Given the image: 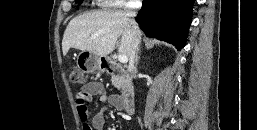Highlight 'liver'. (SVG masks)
Returning <instances> with one entry per match:
<instances>
[{
    "instance_id": "liver-1",
    "label": "liver",
    "mask_w": 257,
    "mask_h": 130,
    "mask_svg": "<svg viewBox=\"0 0 257 130\" xmlns=\"http://www.w3.org/2000/svg\"><path fill=\"white\" fill-rule=\"evenodd\" d=\"M121 36L119 55L127 58L131 52V32L128 18L123 12L94 11L73 18L63 36L62 51L70 48L89 51L97 56L110 54Z\"/></svg>"
}]
</instances>
